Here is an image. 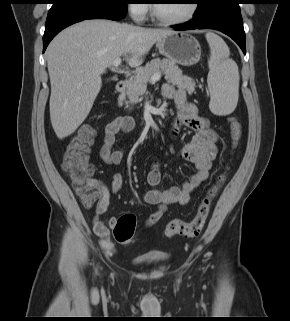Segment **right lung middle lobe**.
<instances>
[{"instance_id": "obj_1", "label": "right lung middle lobe", "mask_w": 290, "mask_h": 321, "mask_svg": "<svg viewBox=\"0 0 290 321\" xmlns=\"http://www.w3.org/2000/svg\"><path fill=\"white\" fill-rule=\"evenodd\" d=\"M128 0H52V8L73 6L86 9L127 8Z\"/></svg>"}]
</instances>
